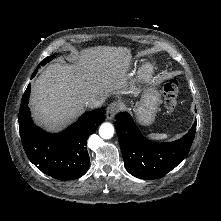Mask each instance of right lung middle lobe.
Listing matches in <instances>:
<instances>
[{
  "label": "right lung middle lobe",
  "instance_id": "dd1d6c3e",
  "mask_svg": "<svg viewBox=\"0 0 221 221\" xmlns=\"http://www.w3.org/2000/svg\"><path fill=\"white\" fill-rule=\"evenodd\" d=\"M54 58V56H50V57H47L45 58L41 63L40 65H45L47 62L51 61L52 59ZM39 67V66H38ZM38 67L36 68V70L34 72H37L38 71Z\"/></svg>",
  "mask_w": 221,
  "mask_h": 221
}]
</instances>
